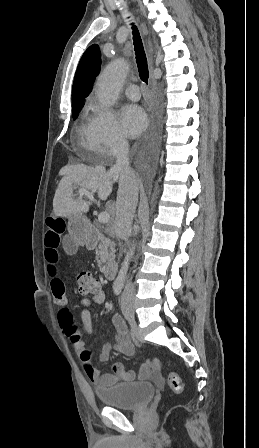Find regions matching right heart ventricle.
I'll list each match as a JSON object with an SVG mask.
<instances>
[{"label":"right heart ventricle","instance_id":"right-heart-ventricle-1","mask_svg":"<svg viewBox=\"0 0 259 448\" xmlns=\"http://www.w3.org/2000/svg\"><path fill=\"white\" fill-rule=\"evenodd\" d=\"M97 113L93 104L90 101H87L83 107L81 115L77 121V128L80 134L82 135L83 142L85 146L90 148V136L92 133V129L96 120ZM97 157H91L88 160V163H93L97 161Z\"/></svg>","mask_w":259,"mask_h":448}]
</instances>
